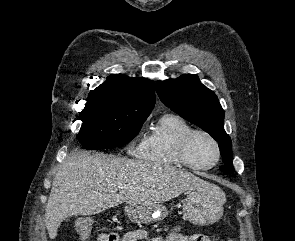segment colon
Wrapping results in <instances>:
<instances>
[{"mask_svg": "<svg viewBox=\"0 0 295 241\" xmlns=\"http://www.w3.org/2000/svg\"><path fill=\"white\" fill-rule=\"evenodd\" d=\"M88 227L82 231L83 235H88L91 231L92 222H88ZM224 241H233V240H224Z\"/></svg>", "mask_w": 295, "mask_h": 241, "instance_id": "obj_1", "label": "colon"}]
</instances>
